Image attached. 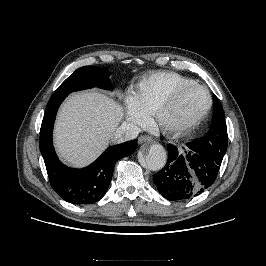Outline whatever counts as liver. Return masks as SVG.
Returning a JSON list of instances; mask_svg holds the SVG:
<instances>
[{
  "label": "liver",
  "mask_w": 266,
  "mask_h": 266,
  "mask_svg": "<svg viewBox=\"0 0 266 266\" xmlns=\"http://www.w3.org/2000/svg\"><path fill=\"white\" fill-rule=\"evenodd\" d=\"M124 110L97 91L75 93L62 105L55 124V146L67 163L82 167L106 148Z\"/></svg>",
  "instance_id": "obj_1"
}]
</instances>
